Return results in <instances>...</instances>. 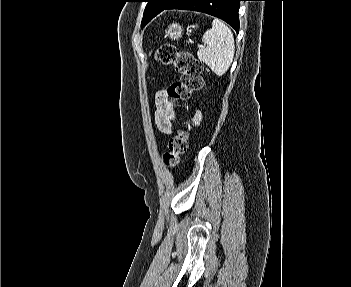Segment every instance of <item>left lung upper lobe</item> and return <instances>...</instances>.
<instances>
[{"label":"left lung upper lobe","mask_w":351,"mask_h":287,"mask_svg":"<svg viewBox=\"0 0 351 287\" xmlns=\"http://www.w3.org/2000/svg\"><path fill=\"white\" fill-rule=\"evenodd\" d=\"M174 0H146L147 6L144 11V16L141 26L144 27L152 18L163 11Z\"/></svg>","instance_id":"5c2ea615"}]
</instances>
